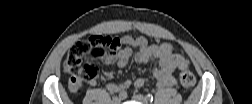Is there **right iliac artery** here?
<instances>
[{"instance_id":"82829eb1","label":"right iliac artery","mask_w":252,"mask_h":104,"mask_svg":"<svg viewBox=\"0 0 252 104\" xmlns=\"http://www.w3.org/2000/svg\"><path fill=\"white\" fill-rule=\"evenodd\" d=\"M119 97H120L121 99H125V98L127 97V93H126V92H121V93L119 94Z\"/></svg>"}]
</instances>
